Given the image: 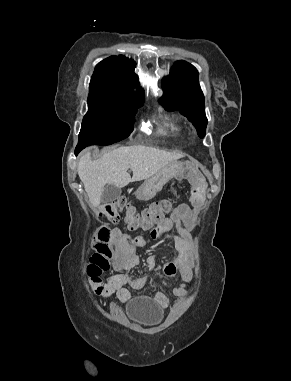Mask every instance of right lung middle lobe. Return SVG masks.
<instances>
[{"mask_svg": "<svg viewBox=\"0 0 291 381\" xmlns=\"http://www.w3.org/2000/svg\"><path fill=\"white\" fill-rule=\"evenodd\" d=\"M141 106L88 96V112L82 121L77 146L82 149L89 145L105 146L128 137Z\"/></svg>", "mask_w": 291, "mask_h": 381, "instance_id": "1", "label": "right lung middle lobe"}]
</instances>
